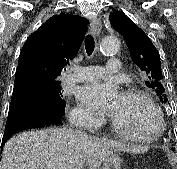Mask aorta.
<instances>
[{
  "label": "aorta",
  "mask_w": 177,
  "mask_h": 169,
  "mask_svg": "<svg viewBox=\"0 0 177 169\" xmlns=\"http://www.w3.org/2000/svg\"><path fill=\"white\" fill-rule=\"evenodd\" d=\"M120 43L117 37L107 36L100 44V51L104 55L116 54L119 50Z\"/></svg>",
  "instance_id": "762f6f07"
}]
</instances>
